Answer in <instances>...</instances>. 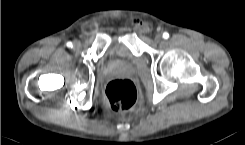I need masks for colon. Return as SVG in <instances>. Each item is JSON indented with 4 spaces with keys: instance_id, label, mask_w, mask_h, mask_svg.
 <instances>
[{
    "instance_id": "obj_1",
    "label": "colon",
    "mask_w": 245,
    "mask_h": 145,
    "mask_svg": "<svg viewBox=\"0 0 245 145\" xmlns=\"http://www.w3.org/2000/svg\"><path fill=\"white\" fill-rule=\"evenodd\" d=\"M135 26L143 31L150 30L151 26L145 21H136ZM106 98L110 107L117 112L132 109L137 102V90L129 79H115L106 87Z\"/></svg>"
}]
</instances>
